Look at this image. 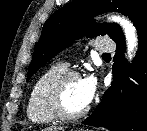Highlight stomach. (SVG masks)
<instances>
[{"label": "stomach", "mask_w": 147, "mask_h": 131, "mask_svg": "<svg viewBox=\"0 0 147 131\" xmlns=\"http://www.w3.org/2000/svg\"><path fill=\"white\" fill-rule=\"evenodd\" d=\"M59 131H64V129H61ZM71 131H88V130H85V129H72Z\"/></svg>", "instance_id": "stomach-1"}]
</instances>
